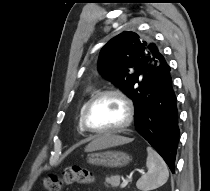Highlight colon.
I'll return each instance as SVG.
<instances>
[{"label": "colon", "instance_id": "1", "mask_svg": "<svg viewBox=\"0 0 210 191\" xmlns=\"http://www.w3.org/2000/svg\"><path fill=\"white\" fill-rule=\"evenodd\" d=\"M93 180L92 172L82 166H70L64 169L61 176L50 175L42 181L46 191H60L63 185L88 184Z\"/></svg>", "mask_w": 210, "mask_h": 191}]
</instances>
